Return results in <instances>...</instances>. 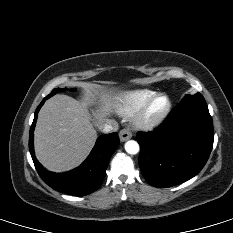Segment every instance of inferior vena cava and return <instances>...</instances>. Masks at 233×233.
Returning <instances> with one entry per match:
<instances>
[{
  "label": "inferior vena cava",
  "instance_id": "inferior-vena-cava-1",
  "mask_svg": "<svg viewBox=\"0 0 233 233\" xmlns=\"http://www.w3.org/2000/svg\"><path fill=\"white\" fill-rule=\"evenodd\" d=\"M99 128L103 133L116 132L118 130V123L113 119H107Z\"/></svg>",
  "mask_w": 233,
  "mask_h": 233
}]
</instances>
